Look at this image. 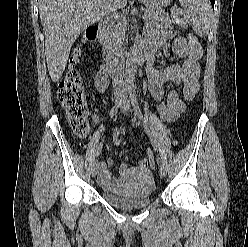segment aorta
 Wrapping results in <instances>:
<instances>
[{
	"label": "aorta",
	"mask_w": 248,
	"mask_h": 247,
	"mask_svg": "<svg viewBox=\"0 0 248 247\" xmlns=\"http://www.w3.org/2000/svg\"><path fill=\"white\" fill-rule=\"evenodd\" d=\"M136 71V55L134 52V47L131 46L126 58V69L124 75L126 86L131 87L134 85Z\"/></svg>",
	"instance_id": "aorta-1"
}]
</instances>
